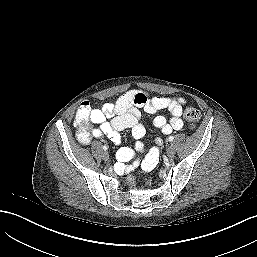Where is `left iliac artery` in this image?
Listing matches in <instances>:
<instances>
[{"label":"left iliac artery","instance_id":"44dca946","mask_svg":"<svg viewBox=\"0 0 257 257\" xmlns=\"http://www.w3.org/2000/svg\"><path fill=\"white\" fill-rule=\"evenodd\" d=\"M174 140V137L173 136H169V138H168V141H173Z\"/></svg>","mask_w":257,"mask_h":257}]
</instances>
